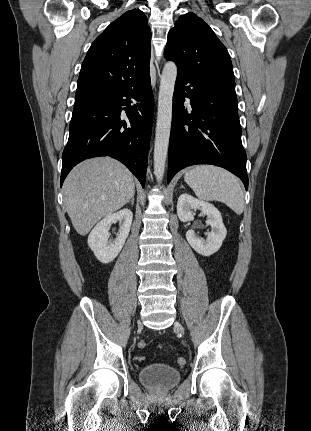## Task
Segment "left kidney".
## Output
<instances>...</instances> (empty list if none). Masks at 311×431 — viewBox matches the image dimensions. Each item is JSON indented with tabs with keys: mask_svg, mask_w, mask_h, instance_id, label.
Wrapping results in <instances>:
<instances>
[{
	"mask_svg": "<svg viewBox=\"0 0 311 431\" xmlns=\"http://www.w3.org/2000/svg\"><path fill=\"white\" fill-rule=\"evenodd\" d=\"M193 210H201L202 214L207 216L206 223L211 225V231L208 233L207 239H203V237H197L194 229H188L186 239L197 253L212 255V253L220 249L222 241L226 237L227 229L223 223L222 216L213 204H208L203 200H196L189 194H181L177 202L179 219L181 221H192L195 216Z\"/></svg>",
	"mask_w": 311,
	"mask_h": 431,
	"instance_id": "1",
	"label": "left kidney"
}]
</instances>
